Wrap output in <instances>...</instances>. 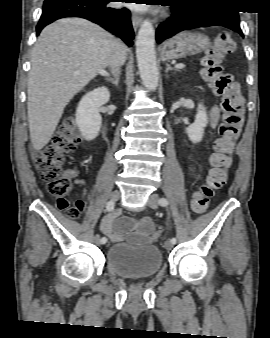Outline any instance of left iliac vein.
I'll use <instances>...</instances> for the list:
<instances>
[{
	"instance_id": "4c4485c4",
	"label": "left iliac vein",
	"mask_w": 270,
	"mask_h": 338,
	"mask_svg": "<svg viewBox=\"0 0 270 338\" xmlns=\"http://www.w3.org/2000/svg\"><path fill=\"white\" fill-rule=\"evenodd\" d=\"M159 196L157 194L150 195L148 199V206L156 209L158 207ZM165 248L167 250H171L173 248V243L170 240L165 242Z\"/></svg>"
}]
</instances>
